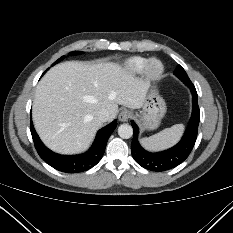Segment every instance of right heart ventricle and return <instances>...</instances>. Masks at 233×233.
Listing matches in <instances>:
<instances>
[{"label":"right heart ventricle","instance_id":"right-heart-ventricle-1","mask_svg":"<svg viewBox=\"0 0 233 233\" xmlns=\"http://www.w3.org/2000/svg\"><path fill=\"white\" fill-rule=\"evenodd\" d=\"M147 59L135 56L127 59L124 63V70L129 74H138L144 70Z\"/></svg>","mask_w":233,"mask_h":233}]
</instances>
